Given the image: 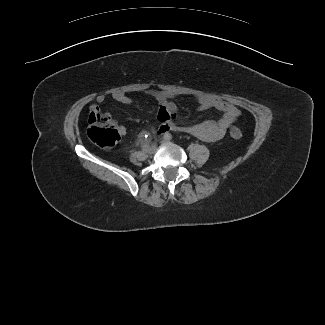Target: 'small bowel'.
Wrapping results in <instances>:
<instances>
[{"mask_svg":"<svg viewBox=\"0 0 325 325\" xmlns=\"http://www.w3.org/2000/svg\"><path fill=\"white\" fill-rule=\"evenodd\" d=\"M147 94L159 105L157 118L162 123L160 128L162 132L168 130L174 132H185L207 142H214L221 139L240 114L239 109L231 103L208 95H195L194 98L199 104L200 110L214 108L220 111L222 116L217 121L207 120L197 124L183 125L176 121L178 109L174 102V99L183 96V94L174 91L160 90H150ZM109 98L126 105H131L134 102L131 97L121 91L101 94L97 96L96 103L91 107V112L100 113V105ZM103 115L110 117L109 113ZM119 133L124 136L126 134V129L123 126H120Z\"/></svg>","mask_w":325,"mask_h":325,"instance_id":"1","label":"small bowel"}]
</instances>
